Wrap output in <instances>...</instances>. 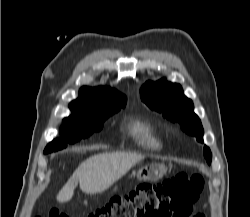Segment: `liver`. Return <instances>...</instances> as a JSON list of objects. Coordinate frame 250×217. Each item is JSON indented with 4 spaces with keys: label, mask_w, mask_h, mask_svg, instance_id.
Here are the masks:
<instances>
[{
    "label": "liver",
    "mask_w": 250,
    "mask_h": 217,
    "mask_svg": "<svg viewBox=\"0 0 250 217\" xmlns=\"http://www.w3.org/2000/svg\"><path fill=\"white\" fill-rule=\"evenodd\" d=\"M143 159L142 155L126 152L94 155L76 169L57 194V201L61 203L70 201L78 183L86 194L101 193Z\"/></svg>",
    "instance_id": "1"
}]
</instances>
